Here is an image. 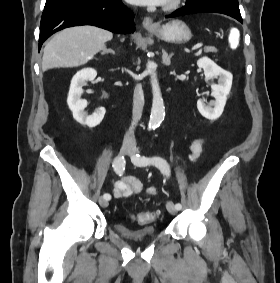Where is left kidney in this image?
<instances>
[{
  "label": "left kidney",
  "instance_id": "1",
  "mask_svg": "<svg viewBox=\"0 0 280 283\" xmlns=\"http://www.w3.org/2000/svg\"><path fill=\"white\" fill-rule=\"evenodd\" d=\"M197 65L198 67L203 68L207 80H212L214 78L218 79V84L211 85V96H213L215 100L207 105L205 104L204 99H199L197 101V108L200 114L209 120H216L223 113L227 96L232 87L233 76L230 72L219 67L208 57L200 58L197 61Z\"/></svg>",
  "mask_w": 280,
  "mask_h": 283
}]
</instances>
